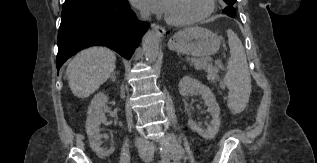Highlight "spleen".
Returning <instances> with one entry per match:
<instances>
[{
    "label": "spleen",
    "mask_w": 317,
    "mask_h": 163,
    "mask_svg": "<svg viewBox=\"0 0 317 163\" xmlns=\"http://www.w3.org/2000/svg\"><path fill=\"white\" fill-rule=\"evenodd\" d=\"M230 59L224 82L229 89L227 105L234 113L242 112L251 93V78L247 58L241 40L232 31L227 30Z\"/></svg>",
    "instance_id": "3e777b00"
}]
</instances>
